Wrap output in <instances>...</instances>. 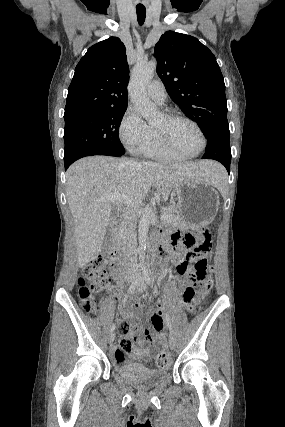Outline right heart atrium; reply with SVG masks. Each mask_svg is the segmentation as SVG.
I'll use <instances>...</instances> for the list:
<instances>
[{"label": "right heart atrium", "mask_w": 285, "mask_h": 427, "mask_svg": "<svg viewBox=\"0 0 285 427\" xmlns=\"http://www.w3.org/2000/svg\"><path fill=\"white\" fill-rule=\"evenodd\" d=\"M120 137L125 147L132 153L140 154L150 140V126L137 111L129 107L120 124Z\"/></svg>", "instance_id": "d8ad5b80"}]
</instances>
